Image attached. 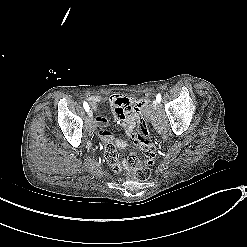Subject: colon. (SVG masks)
Instances as JSON below:
<instances>
[{
    "label": "colon",
    "instance_id": "1",
    "mask_svg": "<svg viewBox=\"0 0 247 247\" xmlns=\"http://www.w3.org/2000/svg\"><path fill=\"white\" fill-rule=\"evenodd\" d=\"M135 137L137 145L136 152L128 156L124 175L132 174L139 181H147L151 177V166L158 156V147L152 139L146 122L143 118L137 123Z\"/></svg>",
    "mask_w": 247,
    "mask_h": 247
}]
</instances>
